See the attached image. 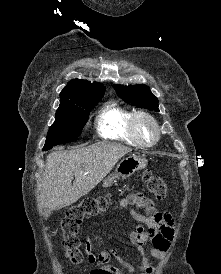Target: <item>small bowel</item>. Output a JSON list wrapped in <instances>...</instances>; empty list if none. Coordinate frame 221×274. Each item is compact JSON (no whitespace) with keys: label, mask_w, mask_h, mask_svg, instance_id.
Here are the masks:
<instances>
[{"label":"small bowel","mask_w":221,"mask_h":274,"mask_svg":"<svg viewBox=\"0 0 221 274\" xmlns=\"http://www.w3.org/2000/svg\"><path fill=\"white\" fill-rule=\"evenodd\" d=\"M119 206L128 209L137 222L130 232L129 241L138 254V261L132 264L118 251L95 252L89 241L85 244L88 261L95 265L90 274H124L119 268L110 266L117 259L130 274H152V260L160 259L170 250L174 239V220L169 212L159 211L154 203L142 193H130L119 201ZM136 206L142 213L133 209Z\"/></svg>","instance_id":"1"}]
</instances>
